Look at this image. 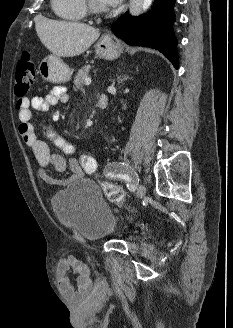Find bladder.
Returning <instances> with one entry per match:
<instances>
[{"label":"bladder","instance_id":"31cf9c89","mask_svg":"<svg viewBox=\"0 0 233 328\" xmlns=\"http://www.w3.org/2000/svg\"><path fill=\"white\" fill-rule=\"evenodd\" d=\"M51 203L57 215L87 240H101L115 230L116 217L91 180L74 181L54 194Z\"/></svg>","mask_w":233,"mask_h":328}]
</instances>
